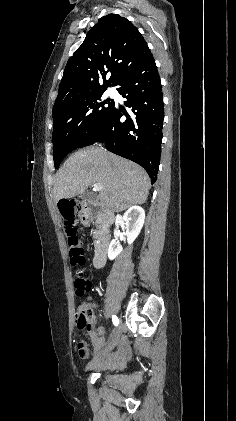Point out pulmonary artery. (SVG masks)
Listing matches in <instances>:
<instances>
[{
    "instance_id": "1",
    "label": "pulmonary artery",
    "mask_w": 236,
    "mask_h": 421,
    "mask_svg": "<svg viewBox=\"0 0 236 421\" xmlns=\"http://www.w3.org/2000/svg\"><path fill=\"white\" fill-rule=\"evenodd\" d=\"M107 95H108V96H113V95H114V93H113V92H111V91H108V92H107Z\"/></svg>"
}]
</instances>
